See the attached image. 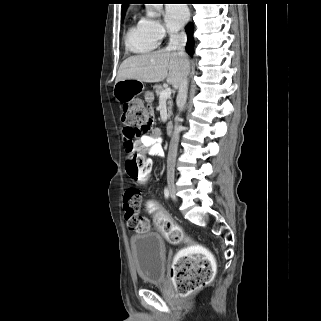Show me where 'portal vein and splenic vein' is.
<instances>
[{
  "label": "portal vein and splenic vein",
  "mask_w": 321,
  "mask_h": 321,
  "mask_svg": "<svg viewBox=\"0 0 321 321\" xmlns=\"http://www.w3.org/2000/svg\"><path fill=\"white\" fill-rule=\"evenodd\" d=\"M170 96H171V89L170 88H166L161 92L159 98H160V100H163V99L170 98Z\"/></svg>",
  "instance_id": "18ae733b"
}]
</instances>
